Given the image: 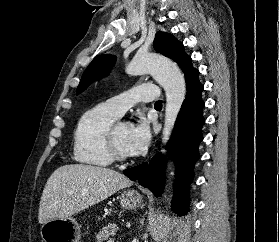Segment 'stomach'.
<instances>
[{
	"instance_id": "1",
	"label": "stomach",
	"mask_w": 279,
	"mask_h": 242,
	"mask_svg": "<svg viewBox=\"0 0 279 242\" xmlns=\"http://www.w3.org/2000/svg\"><path fill=\"white\" fill-rule=\"evenodd\" d=\"M123 208L136 209L142 203V196L134 190H126L120 197ZM44 242H79L80 227L75 219L57 218L44 223L41 227Z\"/></svg>"
}]
</instances>
